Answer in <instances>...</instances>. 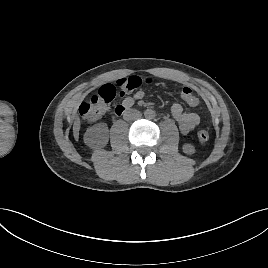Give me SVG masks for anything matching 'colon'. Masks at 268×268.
<instances>
[{
    "label": "colon",
    "instance_id": "obj_1",
    "mask_svg": "<svg viewBox=\"0 0 268 268\" xmlns=\"http://www.w3.org/2000/svg\"><path fill=\"white\" fill-rule=\"evenodd\" d=\"M152 83L153 79L150 77L133 75L119 79L115 84H104L88 101L81 104L80 114L88 122L97 121L109 111L111 103L117 96H124L139 88L141 85H150ZM179 94L190 107L196 108L200 105L199 98L190 88H181ZM198 139L202 143H206L210 139V131L207 127L202 128L198 132Z\"/></svg>",
    "mask_w": 268,
    "mask_h": 268
}]
</instances>
